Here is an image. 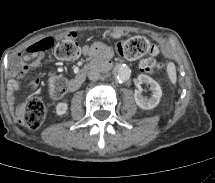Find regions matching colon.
Segmentation results:
<instances>
[{"label": "colon", "instance_id": "5ec220e1", "mask_svg": "<svg viewBox=\"0 0 215 183\" xmlns=\"http://www.w3.org/2000/svg\"><path fill=\"white\" fill-rule=\"evenodd\" d=\"M54 43L51 40H43L34 46V50L43 51L52 48ZM118 52L129 60H134L144 55L149 57L141 60L140 68L147 73H155L162 69V63L158 62L154 56L158 53L156 45L149 42L144 37H133L117 46ZM55 55L63 60H74L80 55L79 44L71 39H65L57 43L54 48ZM66 91V81L63 78H54L48 85V97L57 99ZM46 104L41 98H31L16 109L18 122L26 128H39L46 118Z\"/></svg>", "mask_w": 215, "mask_h": 183}]
</instances>
